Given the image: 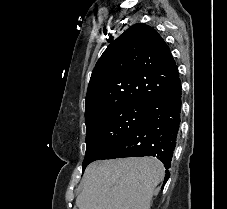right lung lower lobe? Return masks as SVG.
I'll return each mask as SVG.
<instances>
[{
  "label": "right lung lower lobe",
  "mask_w": 227,
  "mask_h": 209,
  "mask_svg": "<svg viewBox=\"0 0 227 209\" xmlns=\"http://www.w3.org/2000/svg\"><path fill=\"white\" fill-rule=\"evenodd\" d=\"M164 72L172 85L147 101L141 121L102 160L154 156L170 168L180 123L181 82L176 63L165 67ZM169 176L166 170L162 189Z\"/></svg>",
  "instance_id": "obj_1"
}]
</instances>
